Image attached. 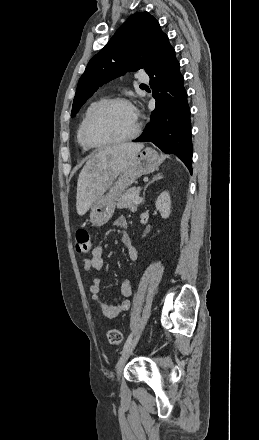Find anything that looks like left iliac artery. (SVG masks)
I'll use <instances>...</instances> for the list:
<instances>
[{
	"label": "left iliac artery",
	"instance_id": "obj_1",
	"mask_svg": "<svg viewBox=\"0 0 259 440\" xmlns=\"http://www.w3.org/2000/svg\"><path fill=\"white\" fill-rule=\"evenodd\" d=\"M131 340H132V333L128 336V338H127V340H126V342L124 344L123 351L128 347V345L130 344Z\"/></svg>",
	"mask_w": 259,
	"mask_h": 440
}]
</instances>
